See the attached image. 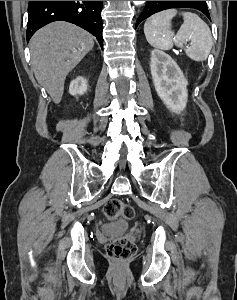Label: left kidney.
<instances>
[{"instance_id":"5707ae66","label":"left kidney","mask_w":237,"mask_h":300,"mask_svg":"<svg viewBox=\"0 0 237 300\" xmlns=\"http://www.w3.org/2000/svg\"><path fill=\"white\" fill-rule=\"evenodd\" d=\"M151 75L158 97L172 113L186 109L187 85L180 67L169 55L154 49L151 53Z\"/></svg>"}]
</instances>
